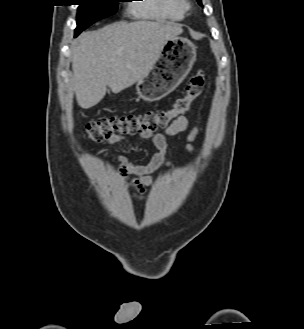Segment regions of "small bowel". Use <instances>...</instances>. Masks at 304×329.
I'll use <instances>...</instances> for the list:
<instances>
[{
    "instance_id": "c3829d8e",
    "label": "small bowel",
    "mask_w": 304,
    "mask_h": 329,
    "mask_svg": "<svg viewBox=\"0 0 304 329\" xmlns=\"http://www.w3.org/2000/svg\"><path fill=\"white\" fill-rule=\"evenodd\" d=\"M188 131L186 137V150H194L193 142L199 134L198 124L190 125L186 116L176 117L161 133H153L148 136H142L151 140L153 156L149 163L145 165H133L127 158L118 156L117 161L120 164L119 175L125 183L138 192V199H143L147 188L152 183L151 174L164 165H169L167 154V137L178 135ZM125 138L121 135L111 136L105 140L106 145H112L122 142Z\"/></svg>"
}]
</instances>
